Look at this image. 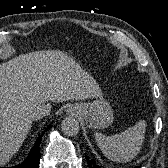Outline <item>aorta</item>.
Masks as SVG:
<instances>
[{
    "mask_svg": "<svg viewBox=\"0 0 168 168\" xmlns=\"http://www.w3.org/2000/svg\"><path fill=\"white\" fill-rule=\"evenodd\" d=\"M79 122L72 117L65 118L61 123V129L67 136H74L79 132Z\"/></svg>",
    "mask_w": 168,
    "mask_h": 168,
    "instance_id": "aorta-1",
    "label": "aorta"
}]
</instances>
